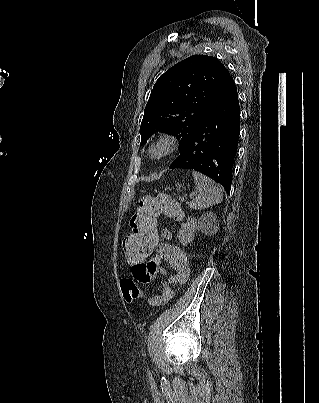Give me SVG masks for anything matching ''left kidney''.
I'll list each match as a JSON object with an SVG mask.
<instances>
[{"instance_id": "5707ae66", "label": "left kidney", "mask_w": 319, "mask_h": 403, "mask_svg": "<svg viewBox=\"0 0 319 403\" xmlns=\"http://www.w3.org/2000/svg\"><path fill=\"white\" fill-rule=\"evenodd\" d=\"M215 220L216 216L212 212H206L199 220L188 217L187 222L181 225V228L177 233L179 241L184 246L188 243H191L197 230H202L203 232L207 233L208 230L206 229V223L209 221L215 222Z\"/></svg>"}]
</instances>
